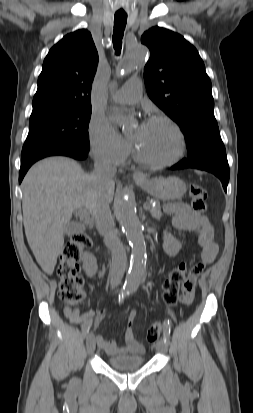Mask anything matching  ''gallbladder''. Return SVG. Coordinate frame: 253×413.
Here are the masks:
<instances>
[{
  "mask_svg": "<svg viewBox=\"0 0 253 413\" xmlns=\"http://www.w3.org/2000/svg\"><path fill=\"white\" fill-rule=\"evenodd\" d=\"M79 229H80V226L77 222H69L65 227L64 233L66 235H70L74 232H77Z\"/></svg>",
  "mask_w": 253,
  "mask_h": 413,
  "instance_id": "obj_1",
  "label": "gallbladder"
}]
</instances>
